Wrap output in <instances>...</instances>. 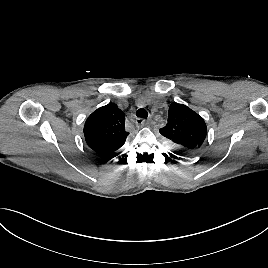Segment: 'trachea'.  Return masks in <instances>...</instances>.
I'll return each instance as SVG.
<instances>
[{"mask_svg":"<svg viewBox=\"0 0 268 268\" xmlns=\"http://www.w3.org/2000/svg\"><path fill=\"white\" fill-rule=\"evenodd\" d=\"M136 116L146 119L148 117V112L144 108H140L137 110Z\"/></svg>","mask_w":268,"mask_h":268,"instance_id":"3493384b","label":"trachea"}]
</instances>
